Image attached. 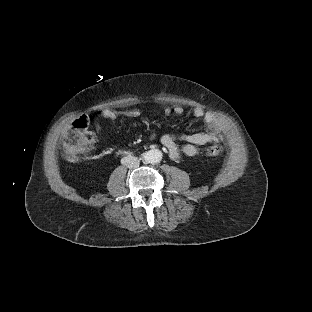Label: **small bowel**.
<instances>
[{"label":"small bowel","instance_id":"c3829d8e","mask_svg":"<svg viewBox=\"0 0 312 312\" xmlns=\"http://www.w3.org/2000/svg\"><path fill=\"white\" fill-rule=\"evenodd\" d=\"M119 113L129 118H140L141 112L138 109L122 110L119 112L107 111L106 116H112ZM174 113L176 115H182L184 108L180 105L174 107L166 106L164 108V114L170 115ZM192 114L195 118L201 119L207 131L198 133H164L159 134L156 126H151L148 133L149 140L159 139L168 156L171 159H178L181 156H193L197 152V147L205 144L216 143L221 136V123L219 119L211 112L205 111L202 107H194ZM183 142V147H179L177 142Z\"/></svg>","mask_w":312,"mask_h":312}]
</instances>
